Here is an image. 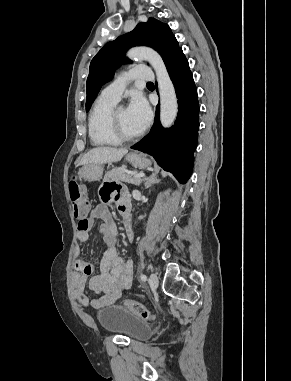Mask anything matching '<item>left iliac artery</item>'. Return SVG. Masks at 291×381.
<instances>
[{
  "instance_id": "44dca946",
  "label": "left iliac artery",
  "mask_w": 291,
  "mask_h": 381,
  "mask_svg": "<svg viewBox=\"0 0 291 381\" xmlns=\"http://www.w3.org/2000/svg\"><path fill=\"white\" fill-rule=\"evenodd\" d=\"M140 278H141L142 281H146L147 280V276L145 274H141Z\"/></svg>"
}]
</instances>
